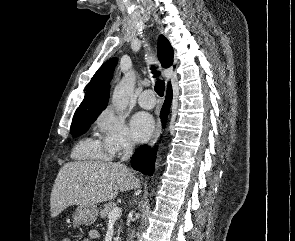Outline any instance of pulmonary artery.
<instances>
[{"mask_svg":"<svg viewBox=\"0 0 295 241\" xmlns=\"http://www.w3.org/2000/svg\"><path fill=\"white\" fill-rule=\"evenodd\" d=\"M138 103L142 108L152 109L156 104L154 92L152 90L142 92L138 98Z\"/></svg>","mask_w":295,"mask_h":241,"instance_id":"e3ab8cb5","label":"pulmonary artery"}]
</instances>
